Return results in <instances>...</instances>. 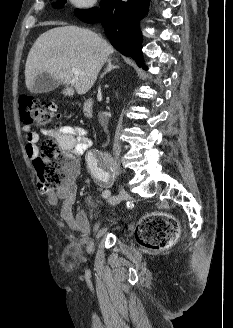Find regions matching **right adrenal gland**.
Segmentation results:
<instances>
[{
	"label": "right adrenal gland",
	"instance_id": "2a0ac1e0",
	"mask_svg": "<svg viewBox=\"0 0 233 328\" xmlns=\"http://www.w3.org/2000/svg\"><path fill=\"white\" fill-rule=\"evenodd\" d=\"M112 58L107 60V69L105 70L104 73L101 74L100 78L102 79L108 72H110L113 69L119 68L117 65L112 64Z\"/></svg>",
	"mask_w": 233,
	"mask_h": 328
}]
</instances>
